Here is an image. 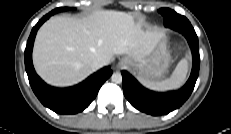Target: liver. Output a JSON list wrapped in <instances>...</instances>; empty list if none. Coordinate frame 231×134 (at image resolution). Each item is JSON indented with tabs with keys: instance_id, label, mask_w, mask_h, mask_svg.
Here are the masks:
<instances>
[{
	"instance_id": "obj_1",
	"label": "liver",
	"mask_w": 231,
	"mask_h": 134,
	"mask_svg": "<svg viewBox=\"0 0 231 134\" xmlns=\"http://www.w3.org/2000/svg\"><path fill=\"white\" fill-rule=\"evenodd\" d=\"M163 37L159 30L144 31L125 12L97 11L82 19L58 16L39 29L33 62L47 83L71 86L95 71L94 61L108 65L115 55L144 57Z\"/></svg>"
}]
</instances>
